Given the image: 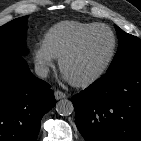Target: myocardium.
Listing matches in <instances>:
<instances>
[{
  "label": "myocardium",
  "mask_w": 141,
  "mask_h": 141,
  "mask_svg": "<svg viewBox=\"0 0 141 141\" xmlns=\"http://www.w3.org/2000/svg\"><path fill=\"white\" fill-rule=\"evenodd\" d=\"M99 28L106 29L111 35L112 46H111L110 53H109L108 57L106 58L105 62L100 66V68L97 71H95L93 74H91L90 76L83 78V79H80V80L68 79L69 82L71 83V85H73L74 87L84 88V87H88V86L92 85L93 83H95L96 81H98L109 69V67L115 57L118 42H117V37H116L114 31L106 24L96 23V24L90 26L89 28H87L86 30H84L76 38V40L72 43V45L62 54V56L59 58L60 71L65 75L64 67H65V64L68 61V59H70L78 51V49L82 45L85 38L91 32H93L94 30L99 29Z\"/></svg>",
  "instance_id": "myocardium-1"
}]
</instances>
